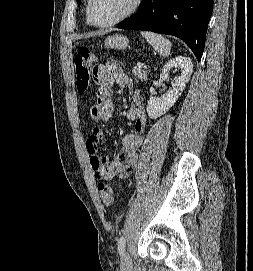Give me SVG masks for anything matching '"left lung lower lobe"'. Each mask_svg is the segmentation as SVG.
I'll return each mask as SVG.
<instances>
[{"mask_svg":"<svg viewBox=\"0 0 253 271\" xmlns=\"http://www.w3.org/2000/svg\"><path fill=\"white\" fill-rule=\"evenodd\" d=\"M212 10L213 0H142L138 12L118 28L179 37L200 61Z\"/></svg>","mask_w":253,"mask_h":271,"instance_id":"0a47b994","label":"left lung lower lobe"}]
</instances>
